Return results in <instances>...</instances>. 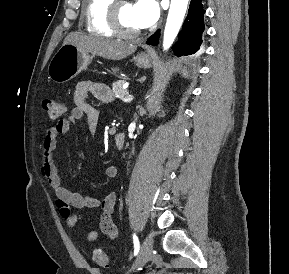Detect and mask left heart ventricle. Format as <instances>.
<instances>
[{
	"mask_svg": "<svg viewBox=\"0 0 289 274\" xmlns=\"http://www.w3.org/2000/svg\"><path fill=\"white\" fill-rule=\"evenodd\" d=\"M120 19L125 28L129 30H140L133 17V5L125 2L120 7Z\"/></svg>",
	"mask_w": 289,
	"mask_h": 274,
	"instance_id": "b2bd125f",
	"label": "left heart ventricle"
}]
</instances>
